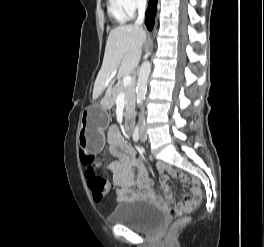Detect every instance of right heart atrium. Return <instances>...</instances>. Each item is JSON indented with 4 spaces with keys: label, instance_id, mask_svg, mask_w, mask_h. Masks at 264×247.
Masks as SVG:
<instances>
[{
    "label": "right heart atrium",
    "instance_id": "1",
    "mask_svg": "<svg viewBox=\"0 0 264 247\" xmlns=\"http://www.w3.org/2000/svg\"><path fill=\"white\" fill-rule=\"evenodd\" d=\"M121 9L132 16L146 5V0H116Z\"/></svg>",
    "mask_w": 264,
    "mask_h": 247
}]
</instances>
